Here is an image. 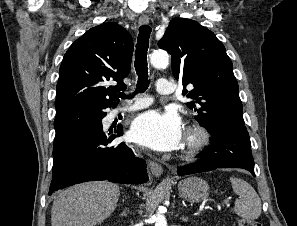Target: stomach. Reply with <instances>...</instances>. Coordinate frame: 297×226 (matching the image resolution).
<instances>
[{"label":"stomach","instance_id":"obj_1","mask_svg":"<svg viewBox=\"0 0 297 226\" xmlns=\"http://www.w3.org/2000/svg\"><path fill=\"white\" fill-rule=\"evenodd\" d=\"M178 192L188 201L199 202L209 196V185L199 177H189L178 183Z\"/></svg>","mask_w":297,"mask_h":226}]
</instances>
